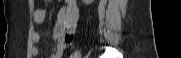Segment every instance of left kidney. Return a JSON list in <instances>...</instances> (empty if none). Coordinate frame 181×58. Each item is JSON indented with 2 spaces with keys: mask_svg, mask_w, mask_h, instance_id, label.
Returning a JSON list of instances; mask_svg holds the SVG:
<instances>
[{
  "mask_svg": "<svg viewBox=\"0 0 181 58\" xmlns=\"http://www.w3.org/2000/svg\"><path fill=\"white\" fill-rule=\"evenodd\" d=\"M85 5H90L92 4V2H94V0H83Z\"/></svg>",
  "mask_w": 181,
  "mask_h": 58,
  "instance_id": "obj_1",
  "label": "left kidney"
}]
</instances>
